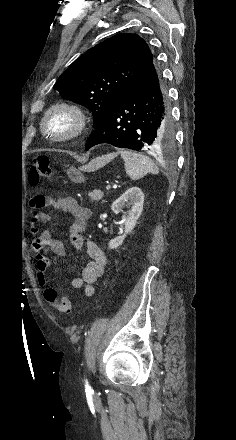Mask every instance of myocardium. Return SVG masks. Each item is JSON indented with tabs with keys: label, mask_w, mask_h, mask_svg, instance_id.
I'll return each mask as SVG.
<instances>
[{
	"label": "myocardium",
	"mask_w": 236,
	"mask_h": 440,
	"mask_svg": "<svg viewBox=\"0 0 236 440\" xmlns=\"http://www.w3.org/2000/svg\"><path fill=\"white\" fill-rule=\"evenodd\" d=\"M64 116L69 121L67 129H58L54 121ZM88 117L85 110L77 103L59 101L52 104L41 118V129L46 138L52 142H68L80 138L86 131Z\"/></svg>",
	"instance_id": "f54148a6"
}]
</instances>
